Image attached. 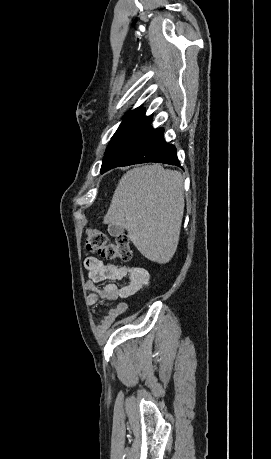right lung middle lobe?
I'll list each match as a JSON object with an SVG mask.
<instances>
[{
	"mask_svg": "<svg viewBox=\"0 0 271 459\" xmlns=\"http://www.w3.org/2000/svg\"><path fill=\"white\" fill-rule=\"evenodd\" d=\"M152 118L145 116V112H130L124 116L118 130L112 137L102 162L101 173L109 161L138 133L151 124Z\"/></svg>",
	"mask_w": 271,
	"mask_h": 459,
	"instance_id": "obj_1",
	"label": "right lung middle lobe"
}]
</instances>
